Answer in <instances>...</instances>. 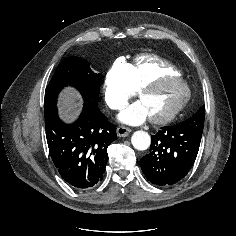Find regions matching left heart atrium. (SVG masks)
<instances>
[{
	"label": "left heart atrium",
	"instance_id": "39dd6f15",
	"mask_svg": "<svg viewBox=\"0 0 236 236\" xmlns=\"http://www.w3.org/2000/svg\"><path fill=\"white\" fill-rule=\"evenodd\" d=\"M149 117L148 111L141 101H137L126 107L120 114L119 119L127 124L138 125Z\"/></svg>",
	"mask_w": 236,
	"mask_h": 236
}]
</instances>
